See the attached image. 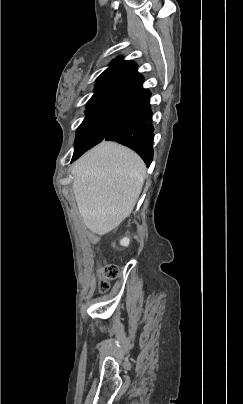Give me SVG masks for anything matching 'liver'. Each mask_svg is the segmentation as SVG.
Wrapping results in <instances>:
<instances>
[{"mask_svg":"<svg viewBox=\"0 0 243 404\" xmlns=\"http://www.w3.org/2000/svg\"><path fill=\"white\" fill-rule=\"evenodd\" d=\"M73 192L84 226L98 236L131 214L144 184L143 160L116 142H101L75 162Z\"/></svg>","mask_w":243,"mask_h":404,"instance_id":"1","label":"liver"}]
</instances>
